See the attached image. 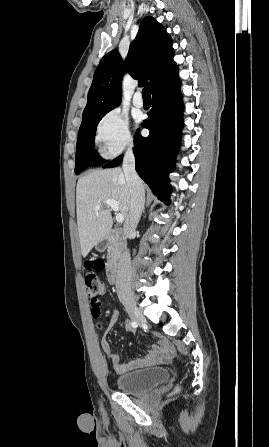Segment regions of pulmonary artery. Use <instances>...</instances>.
<instances>
[{
    "mask_svg": "<svg viewBox=\"0 0 269 447\" xmlns=\"http://www.w3.org/2000/svg\"><path fill=\"white\" fill-rule=\"evenodd\" d=\"M133 103L137 108L143 107L144 101L142 95L139 93L135 94L133 98Z\"/></svg>",
    "mask_w": 269,
    "mask_h": 447,
    "instance_id": "obj_1",
    "label": "pulmonary artery"
}]
</instances>
